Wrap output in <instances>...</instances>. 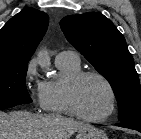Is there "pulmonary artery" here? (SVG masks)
Masks as SVG:
<instances>
[{
    "instance_id": "pulmonary-artery-1",
    "label": "pulmonary artery",
    "mask_w": 141,
    "mask_h": 139,
    "mask_svg": "<svg viewBox=\"0 0 141 139\" xmlns=\"http://www.w3.org/2000/svg\"><path fill=\"white\" fill-rule=\"evenodd\" d=\"M61 61L77 62L79 61V56L74 51H70V50L61 51L56 55V62H61Z\"/></svg>"
}]
</instances>
